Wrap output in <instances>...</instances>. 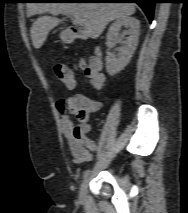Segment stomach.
I'll return each mask as SVG.
<instances>
[{
  "label": "stomach",
  "mask_w": 188,
  "mask_h": 213,
  "mask_svg": "<svg viewBox=\"0 0 188 213\" xmlns=\"http://www.w3.org/2000/svg\"><path fill=\"white\" fill-rule=\"evenodd\" d=\"M60 37L66 43H68L72 40L71 36H69L66 32L61 33Z\"/></svg>",
  "instance_id": "0dacf381"
}]
</instances>
